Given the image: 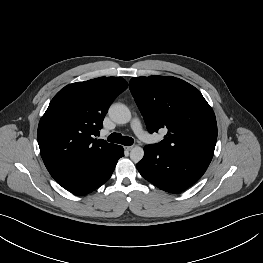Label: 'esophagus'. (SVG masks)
Here are the masks:
<instances>
[{
	"mask_svg": "<svg viewBox=\"0 0 263 263\" xmlns=\"http://www.w3.org/2000/svg\"><path fill=\"white\" fill-rule=\"evenodd\" d=\"M124 148H125V150H127V151H131L132 148H133V146H125Z\"/></svg>",
	"mask_w": 263,
	"mask_h": 263,
	"instance_id": "esophagus-1",
	"label": "esophagus"
}]
</instances>
